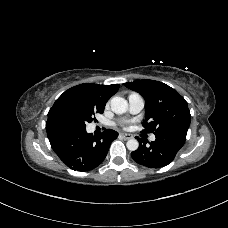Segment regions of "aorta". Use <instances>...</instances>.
<instances>
[{"mask_svg": "<svg viewBox=\"0 0 228 228\" xmlns=\"http://www.w3.org/2000/svg\"><path fill=\"white\" fill-rule=\"evenodd\" d=\"M111 110L116 114H123L128 109L127 101L122 97H113L110 101ZM126 146L130 151H136L139 147V142L136 139L127 141Z\"/></svg>", "mask_w": 228, "mask_h": 228, "instance_id": "obj_1", "label": "aorta"}]
</instances>
